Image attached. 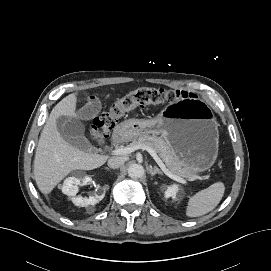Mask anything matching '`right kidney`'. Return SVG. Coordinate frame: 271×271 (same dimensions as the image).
Listing matches in <instances>:
<instances>
[{"label":"right kidney","mask_w":271,"mask_h":271,"mask_svg":"<svg viewBox=\"0 0 271 271\" xmlns=\"http://www.w3.org/2000/svg\"><path fill=\"white\" fill-rule=\"evenodd\" d=\"M92 182L91 178L85 177L80 179L78 177H68L64 180L62 185V192L68 196L72 197V202L76 206L87 207L89 205H95L100 202L105 195V191L98 185L94 195L89 196V198H83L81 196H76L78 193V186L87 185Z\"/></svg>","instance_id":"obj_1"}]
</instances>
